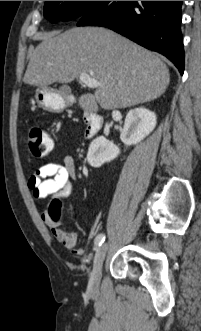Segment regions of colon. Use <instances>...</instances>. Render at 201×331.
I'll list each match as a JSON object with an SVG mask.
<instances>
[{"mask_svg": "<svg viewBox=\"0 0 201 331\" xmlns=\"http://www.w3.org/2000/svg\"><path fill=\"white\" fill-rule=\"evenodd\" d=\"M28 147L30 152L36 158H43L49 154L53 147V141L48 132L41 128H32L27 137ZM59 203L55 202L52 206H57Z\"/></svg>", "mask_w": 201, "mask_h": 331, "instance_id": "1", "label": "colon"}]
</instances>
